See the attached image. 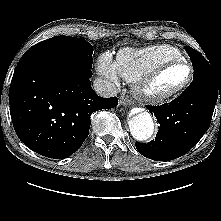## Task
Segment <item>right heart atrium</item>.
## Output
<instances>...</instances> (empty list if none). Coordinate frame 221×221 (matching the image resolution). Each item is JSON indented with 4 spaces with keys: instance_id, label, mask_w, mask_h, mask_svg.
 I'll return each instance as SVG.
<instances>
[{
    "instance_id": "right-heart-atrium-1",
    "label": "right heart atrium",
    "mask_w": 221,
    "mask_h": 221,
    "mask_svg": "<svg viewBox=\"0 0 221 221\" xmlns=\"http://www.w3.org/2000/svg\"><path fill=\"white\" fill-rule=\"evenodd\" d=\"M97 72L100 76L109 79L113 83H118L119 74L117 72L115 62L109 53L102 54L97 62Z\"/></svg>"
}]
</instances>
